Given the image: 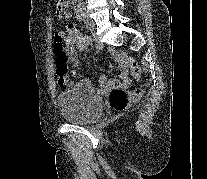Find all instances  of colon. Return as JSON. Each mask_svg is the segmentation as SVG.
<instances>
[{"mask_svg":"<svg viewBox=\"0 0 207 179\" xmlns=\"http://www.w3.org/2000/svg\"><path fill=\"white\" fill-rule=\"evenodd\" d=\"M68 0H55V14L58 18H62L66 13ZM55 40V51H56V72L59 76V80L63 85L69 82L68 75L70 73L68 55L64 50L62 40ZM127 63L131 69L132 74L138 78L140 76V71L137 62L132 57L127 58ZM143 90L136 89L132 92L127 91L124 88H115L111 91L109 95V103L111 107L118 111H125L130 104L136 102L142 96Z\"/></svg>","mask_w":207,"mask_h":179,"instance_id":"colon-1","label":"colon"}]
</instances>
